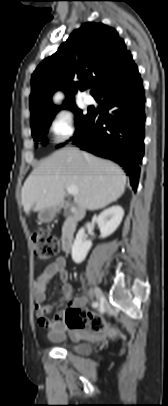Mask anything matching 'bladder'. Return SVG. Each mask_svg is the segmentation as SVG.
<instances>
[{
    "label": "bladder",
    "mask_w": 168,
    "mask_h": 406,
    "mask_svg": "<svg viewBox=\"0 0 168 406\" xmlns=\"http://www.w3.org/2000/svg\"><path fill=\"white\" fill-rule=\"evenodd\" d=\"M68 348L79 355H88L91 352V346L83 342L72 343Z\"/></svg>",
    "instance_id": "1"
}]
</instances>
